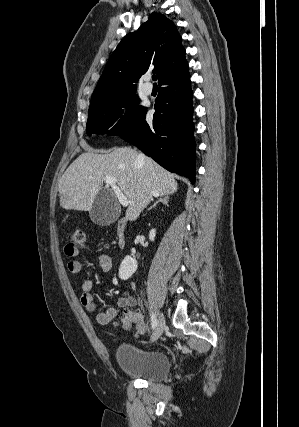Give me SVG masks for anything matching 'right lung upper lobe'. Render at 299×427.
Segmentation results:
<instances>
[{"mask_svg":"<svg viewBox=\"0 0 299 427\" xmlns=\"http://www.w3.org/2000/svg\"><path fill=\"white\" fill-rule=\"evenodd\" d=\"M150 65L158 83L188 70L185 49L172 21L153 12L148 21L118 44L99 79L91 102L136 91V82Z\"/></svg>","mask_w":299,"mask_h":427,"instance_id":"cb5924a9","label":"right lung upper lobe"}]
</instances>
